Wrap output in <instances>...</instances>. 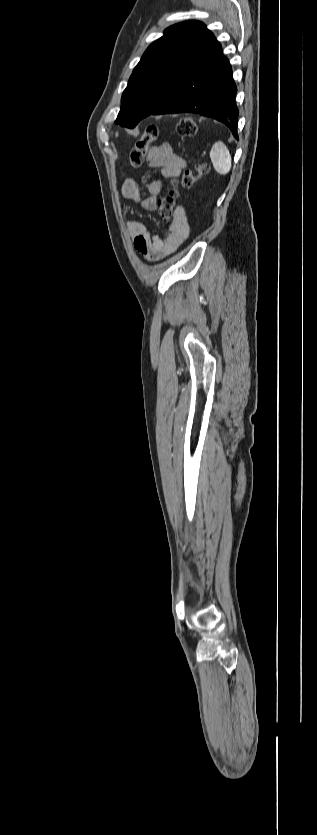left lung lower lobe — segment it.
I'll return each instance as SVG.
<instances>
[{
	"instance_id": "1",
	"label": "left lung lower lobe",
	"mask_w": 317,
	"mask_h": 835,
	"mask_svg": "<svg viewBox=\"0 0 317 835\" xmlns=\"http://www.w3.org/2000/svg\"><path fill=\"white\" fill-rule=\"evenodd\" d=\"M236 92L231 65L213 37L184 71L170 96L151 115L200 114L224 123L238 139Z\"/></svg>"
}]
</instances>
